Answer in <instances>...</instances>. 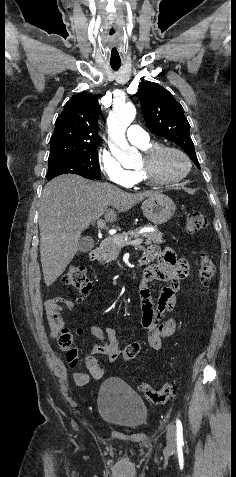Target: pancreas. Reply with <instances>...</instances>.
Segmentation results:
<instances>
[{"instance_id":"obj_1","label":"pancreas","mask_w":236,"mask_h":477,"mask_svg":"<svg viewBox=\"0 0 236 477\" xmlns=\"http://www.w3.org/2000/svg\"><path fill=\"white\" fill-rule=\"evenodd\" d=\"M140 228H135L134 230L128 231V232H122L120 234H117L116 237L121 238L123 240L127 239L129 236H138V232L141 229ZM143 236L146 238L145 244L150 245V244H162L163 241V234L155 230L153 232H148L143 234ZM122 246L117 245L115 242H113L112 238H106L100 245V254L98 256V261L104 262V263H109L112 260H115L117 255L120 253Z\"/></svg>"}]
</instances>
